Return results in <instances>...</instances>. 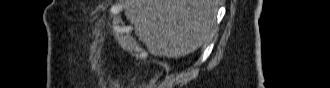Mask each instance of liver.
I'll return each instance as SVG.
<instances>
[{"label": "liver", "instance_id": "1", "mask_svg": "<svg viewBox=\"0 0 330 88\" xmlns=\"http://www.w3.org/2000/svg\"><path fill=\"white\" fill-rule=\"evenodd\" d=\"M218 0H126V18L154 56L180 58L208 42Z\"/></svg>", "mask_w": 330, "mask_h": 88}]
</instances>
